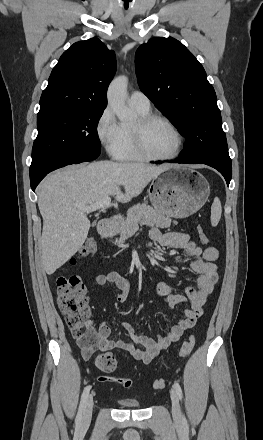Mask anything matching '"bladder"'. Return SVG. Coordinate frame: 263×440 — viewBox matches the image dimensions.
Segmentation results:
<instances>
[{"instance_id":"31cf9c89","label":"bladder","mask_w":263,"mask_h":440,"mask_svg":"<svg viewBox=\"0 0 263 440\" xmlns=\"http://www.w3.org/2000/svg\"><path fill=\"white\" fill-rule=\"evenodd\" d=\"M118 404L121 407L129 408V409H139L142 406L140 401L135 399H120L118 400Z\"/></svg>"}]
</instances>
